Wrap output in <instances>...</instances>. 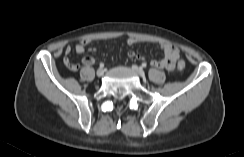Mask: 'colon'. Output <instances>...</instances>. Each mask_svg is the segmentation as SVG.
Segmentation results:
<instances>
[{
	"mask_svg": "<svg viewBox=\"0 0 244 157\" xmlns=\"http://www.w3.org/2000/svg\"><path fill=\"white\" fill-rule=\"evenodd\" d=\"M186 64L184 61H179L177 64L178 70H183L185 68Z\"/></svg>",
	"mask_w": 244,
	"mask_h": 157,
	"instance_id": "colon-1",
	"label": "colon"
}]
</instances>
